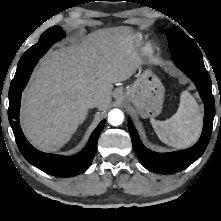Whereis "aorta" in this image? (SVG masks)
<instances>
[{"instance_id":"762f6f07","label":"aorta","mask_w":221,"mask_h":221,"mask_svg":"<svg viewBox=\"0 0 221 221\" xmlns=\"http://www.w3.org/2000/svg\"><path fill=\"white\" fill-rule=\"evenodd\" d=\"M124 114L120 109H112L108 114V122L113 126L123 123Z\"/></svg>"}]
</instances>
